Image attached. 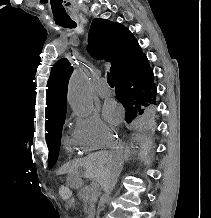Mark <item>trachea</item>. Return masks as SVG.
Instances as JSON below:
<instances>
[{"label": "trachea", "mask_w": 211, "mask_h": 218, "mask_svg": "<svg viewBox=\"0 0 211 218\" xmlns=\"http://www.w3.org/2000/svg\"><path fill=\"white\" fill-rule=\"evenodd\" d=\"M76 25L74 26H69V27H66V28H75ZM107 83L110 85V84H113V81H112V78H111V75L110 73H107Z\"/></svg>", "instance_id": "trachea-1"}]
</instances>
